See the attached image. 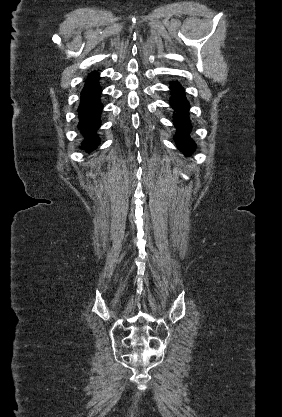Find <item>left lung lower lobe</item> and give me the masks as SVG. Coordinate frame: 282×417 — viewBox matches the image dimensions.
<instances>
[{"label":"left lung lower lobe","instance_id":"obj_1","mask_svg":"<svg viewBox=\"0 0 282 417\" xmlns=\"http://www.w3.org/2000/svg\"><path fill=\"white\" fill-rule=\"evenodd\" d=\"M172 97L170 105L175 110L174 125L177 129V134L174 140L185 156H189L195 150V142L190 138L189 132L191 124L189 120V103L184 96L183 87L177 82H171Z\"/></svg>","mask_w":282,"mask_h":417}]
</instances>
